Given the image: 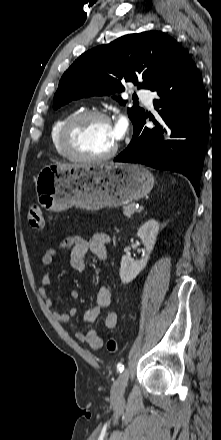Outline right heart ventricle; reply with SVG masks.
Returning a JSON list of instances; mask_svg holds the SVG:
<instances>
[{"instance_id": "right-heart-ventricle-1", "label": "right heart ventricle", "mask_w": 221, "mask_h": 440, "mask_svg": "<svg viewBox=\"0 0 221 440\" xmlns=\"http://www.w3.org/2000/svg\"><path fill=\"white\" fill-rule=\"evenodd\" d=\"M73 114L69 113L66 115H63L59 117L57 120L54 121L52 124L51 130H50V141L53 150L61 157L69 158L64 151L61 148L60 144V132L64 125V123L67 121L69 117H71Z\"/></svg>"}]
</instances>
